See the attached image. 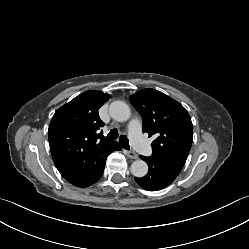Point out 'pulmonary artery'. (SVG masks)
<instances>
[{"instance_id": "obj_1", "label": "pulmonary artery", "mask_w": 249, "mask_h": 249, "mask_svg": "<svg viewBox=\"0 0 249 249\" xmlns=\"http://www.w3.org/2000/svg\"><path fill=\"white\" fill-rule=\"evenodd\" d=\"M128 135L131 144L142 154L151 153V146L147 143L142 133V123L139 118H133L128 125Z\"/></svg>"}]
</instances>
